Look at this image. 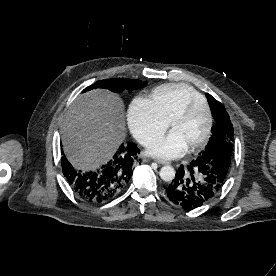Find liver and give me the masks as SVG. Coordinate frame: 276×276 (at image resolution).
Returning <instances> with one entry per match:
<instances>
[{"label": "liver", "mask_w": 276, "mask_h": 276, "mask_svg": "<svg viewBox=\"0 0 276 276\" xmlns=\"http://www.w3.org/2000/svg\"><path fill=\"white\" fill-rule=\"evenodd\" d=\"M120 97L95 89L79 95L67 110L62 127L63 150L77 169L94 170L106 163L126 136Z\"/></svg>", "instance_id": "6515ba94"}]
</instances>
